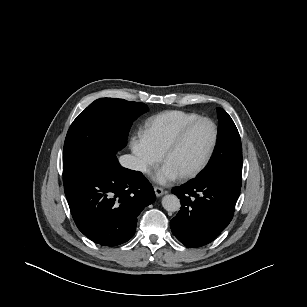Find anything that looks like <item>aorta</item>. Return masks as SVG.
<instances>
[{"instance_id": "obj_1", "label": "aorta", "mask_w": 307, "mask_h": 307, "mask_svg": "<svg viewBox=\"0 0 307 307\" xmlns=\"http://www.w3.org/2000/svg\"><path fill=\"white\" fill-rule=\"evenodd\" d=\"M162 206L166 211L176 212L180 209L181 203L176 195L168 194L162 198Z\"/></svg>"}]
</instances>
